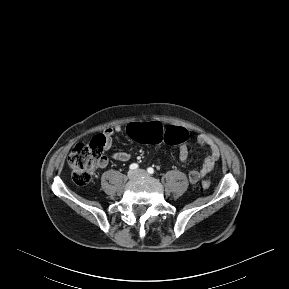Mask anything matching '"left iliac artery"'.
<instances>
[{
  "label": "left iliac artery",
  "instance_id": "44dca946",
  "mask_svg": "<svg viewBox=\"0 0 289 289\" xmlns=\"http://www.w3.org/2000/svg\"><path fill=\"white\" fill-rule=\"evenodd\" d=\"M147 171L149 174H154V169L152 167H149Z\"/></svg>",
  "mask_w": 289,
  "mask_h": 289
}]
</instances>
